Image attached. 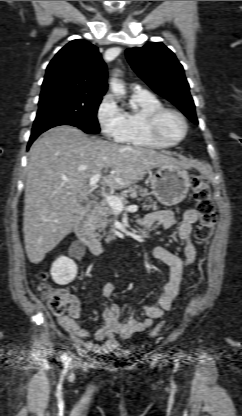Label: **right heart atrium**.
Masks as SVG:
<instances>
[{"label":"right heart atrium","instance_id":"obj_1","mask_svg":"<svg viewBox=\"0 0 242 416\" xmlns=\"http://www.w3.org/2000/svg\"><path fill=\"white\" fill-rule=\"evenodd\" d=\"M96 118L106 137L120 139L125 130V116L112 95L103 97L97 108Z\"/></svg>","mask_w":242,"mask_h":416}]
</instances>
